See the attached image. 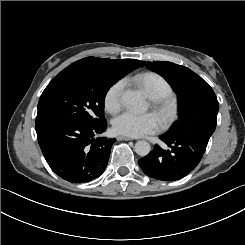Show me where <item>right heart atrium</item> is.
<instances>
[{"label": "right heart atrium", "mask_w": 245, "mask_h": 245, "mask_svg": "<svg viewBox=\"0 0 245 245\" xmlns=\"http://www.w3.org/2000/svg\"><path fill=\"white\" fill-rule=\"evenodd\" d=\"M123 89L122 81H117L109 87L104 99L105 108L108 111L115 112L121 107Z\"/></svg>", "instance_id": "obj_1"}]
</instances>
